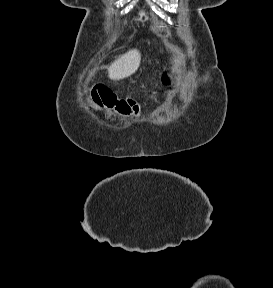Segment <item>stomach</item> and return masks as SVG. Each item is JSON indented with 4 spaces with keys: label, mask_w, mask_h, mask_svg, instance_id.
I'll return each instance as SVG.
<instances>
[{
    "label": "stomach",
    "mask_w": 273,
    "mask_h": 288,
    "mask_svg": "<svg viewBox=\"0 0 273 288\" xmlns=\"http://www.w3.org/2000/svg\"><path fill=\"white\" fill-rule=\"evenodd\" d=\"M159 52L163 54L165 52L164 48L163 47H159Z\"/></svg>",
    "instance_id": "1"
}]
</instances>
